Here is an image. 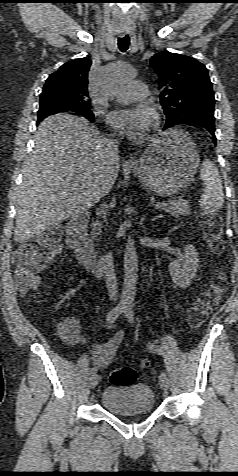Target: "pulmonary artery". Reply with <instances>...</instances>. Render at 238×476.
<instances>
[{
    "label": "pulmonary artery",
    "mask_w": 238,
    "mask_h": 476,
    "mask_svg": "<svg viewBox=\"0 0 238 476\" xmlns=\"http://www.w3.org/2000/svg\"><path fill=\"white\" fill-rule=\"evenodd\" d=\"M148 96V87L141 81H131L116 94V100L120 103H130L145 99Z\"/></svg>",
    "instance_id": "pulmonary-artery-1"
}]
</instances>
